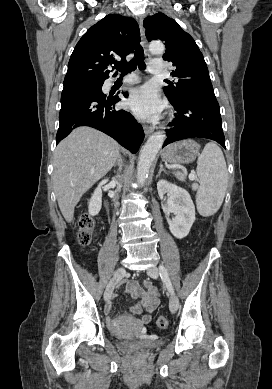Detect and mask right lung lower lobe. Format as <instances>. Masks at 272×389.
Wrapping results in <instances>:
<instances>
[{
  "instance_id": "1",
  "label": "right lung lower lobe",
  "mask_w": 272,
  "mask_h": 389,
  "mask_svg": "<svg viewBox=\"0 0 272 389\" xmlns=\"http://www.w3.org/2000/svg\"><path fill=\"white\" fill-rule=\"evenodd\" d=\"M128 97L126 92H122ZM118 95L105 94L102 89L64 87L61 95L59 129L56 144L77 126H90L113 137L132 153L144 139L142 126L125 110H116Z\"/></svg>"
}]
</instances>
